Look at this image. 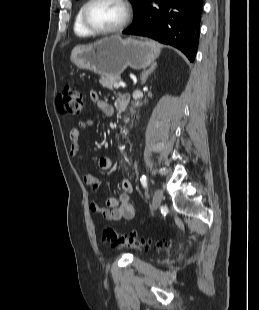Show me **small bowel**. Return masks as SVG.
<instances>
[{
    "label": "small bowel",
    "mask_w": 259,
    "mask_h": 310,
    "mask_svg": "<svg viewBox=\"0 0 259 310\" xmlns=\"http://www.w3.org/2000/svg\"><path fill=\"white\" fill-rule=\"evenodd\" d=\"M90 99L92 103L96 105L98 110H100L106 116H112L114 114V107L110 103L100 99L98 93L91 92ZM119 100V99H118ZM118 104V103H117ZM92 120H87L81 122L77 127L71 129L69 138L71 142L70 156L73 159L78 158V153L80 150V140L82 132L92 125ZM98 167L101 172L109 173L113 169V164L111 159L107 157H102L98 160ZM83 182L85 185L92 188V191L96 193L100 188V181L92 174L85 173L83 175ZM121 188L123 190L119 198L115 196H109L106 199L105 205L99 204L97 201L93 200L90 204V210L99 216L109 220V221H120V220H131L135 217V208L130 202V194L132 193L133 186L130 180L124 179L121 181Z\"/></svg>",
    "instance_id": "c3829d8e"
}]
</instances>
